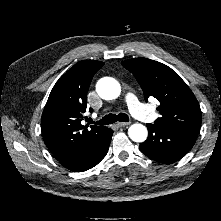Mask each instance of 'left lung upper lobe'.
<instances>
[{
    "label": "left lung upper lobe",
    "instance_id": "5c2ea615",
    "mask_svg": "<svg viewBox=\"0 0 221 221\" xmlns=\"http://www.w3.org/2000/svg\"><path fill=\"white\" fill-rule=\"evenodd\" d=\"M121 64L135 76L146 101L153 96L160 102L157 110L161 117L155 121V125L174 130L199 131V103L175 71L147 58H133Z\"/></svg>",
    "mask_w": 221,
    "mask_h": 221
}]
</instances>
